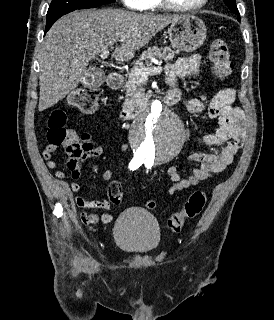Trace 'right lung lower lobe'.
Returning <instances> with one entry per match:
<instances>
[{
    "instance_id": "1",
    "label": "right lung lower lobe",
    "mask_w": 274,
    "mask_h": 320,
    "mask_svg": "<svg viewBox=\"0 0 274 320\" xmlns=\"http://www.w3.org/2000/svg\"><path fill=\"white\" fill-rule=\"evenodd\" d=\"M69 12H72V11H69ZM69 12H64V13L56 14V15H54V16H52V17L47 18L46 28H45V33H44V35L46 34V32L50 29V27L54 24V22H55L58 18H60L61 16L65 15V14H67V13H69Z\"/></svg>"
}]
</instances>
